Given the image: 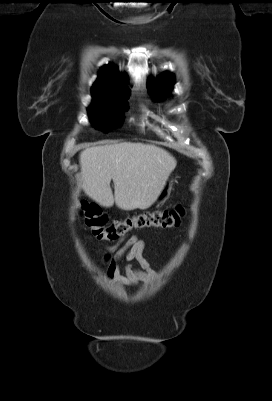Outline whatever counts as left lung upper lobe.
<instances>
[{"label":"left lung upper lobe","mask_w":272,"mask_h":401,"mask_svg":"<svg viewBox=\"0 0 272 401\" xmlns=\"http://www.w3.org/2000/svg\"><path fill=\"white\" fill-rule=\"evenodd\" d=\"M173 84L174 76L172 74L165 73L156 81L149 83V92L155 100H161L171 92Z\"/></svg>","instance_id":"obj_1"}]
</instances>
